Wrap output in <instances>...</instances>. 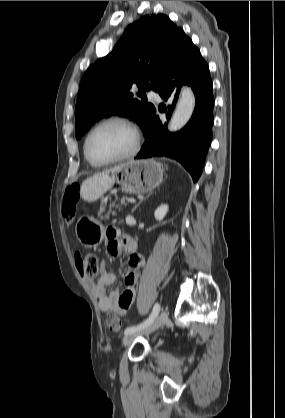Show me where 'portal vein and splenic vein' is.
I'll use <instances>...</instances> for the list:
<instances>
[{
	"instance_id": "1",
	"label": "portal vein and splenic vein",
	"mask_w": 285,
	"mask_h": 418,
	"mask_svg": "<svg viewBox=\"0 0 285 418\" xmlns=\"http://www.w3.org/2000/svg\"><path fill=\"white\" fill-rule=\"evenodd\" d=\"M128 202H135L134 199H128Z\"/></svg>"
}]
</instances>
